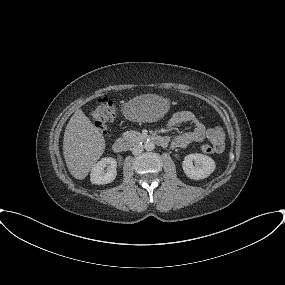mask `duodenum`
<instances>
[{"mask_svg":"<svg viewBox=\"0 0 285 285\" xmlns=\"http://www.w3.org/2000/svg\"><path fill=\"white\" fill-rule=\"evenodd\" d=\"M149 139L161 147H167L169 144V139L164 136L156 135V136L150 137ZM130 146H131V143L127 138L120 137L114 141L112 148L114 152L122 153V152L127 151L130 148Z\"/></svg>","mask_w":285,"mask_h":285,"instance_id":"duodenum-1","label":"duodenum"}]
</instances>
